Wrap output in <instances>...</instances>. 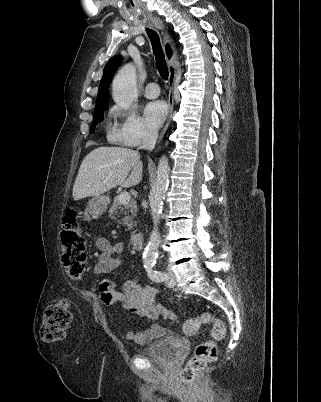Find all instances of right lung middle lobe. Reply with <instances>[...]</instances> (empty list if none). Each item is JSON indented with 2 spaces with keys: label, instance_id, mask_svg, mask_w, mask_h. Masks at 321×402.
Returning a JSON list of instances; mask_svg holds the SVG:
<instances>
[{
  "label": "right lung middle lobe",
  "instance_id": "right-lung-middle-lobe-1",
  "mask_svg": "<svg viewBox=\"0 0 321 402\" xmlns=\"http://www.w3.org/2000/svg\"><path fill=\"white\" fill-rule=\"evenodd\" d=\"M105 110H108V105L102 106V107H99V108H95L94 117H93L92 131H94L96 124L103 120V112Z\"/></svg>",
  "mask_w": 321,
  "mask_h": 402
}]
</instances>
